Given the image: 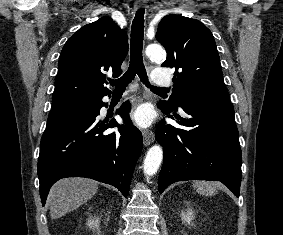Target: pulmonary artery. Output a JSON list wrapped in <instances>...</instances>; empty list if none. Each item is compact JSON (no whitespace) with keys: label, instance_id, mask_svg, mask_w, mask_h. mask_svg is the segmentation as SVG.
I'll use <instances>...</instances> for the list:
<instances>
[{"label":"pulmonary artery","instance_id":"1","mask_svg":"<svg viewBox=\"0 0 283 235\" xmlns=\"http://www.w3.org/2000/svg\"><path fill=\"white\" fill-rule=\"evenodd\" d=\"M152 79L154 83L159 87H168L172 85V80L170 77H168L165 70H153Z\"/></svg>","mask_w":283,"mask_h":235}]
</instances>
